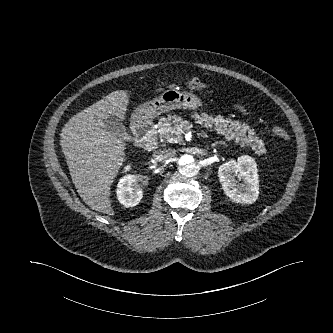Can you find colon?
<instances>
[{"instance_id":"obj_1","label":"colon","mask_w":333,"mask_h":333,"mask_svg":"<svg viewBox=\"0 0 333 333\" xmlns=\"http://www.w3.org/2000/svg\"><path fill=\"white\" fill-rule=\"evenodd\" d=\"M185 87L190 90H203L206 87V84L203 80L199 78H190L185 81ZM273 134L279 139L286 141L289 139V134L287 131L279 126H273L272 128Z\"/></svg>"}]
</instances>
